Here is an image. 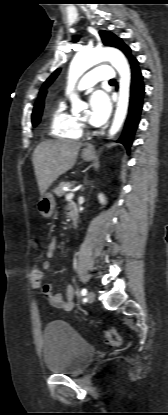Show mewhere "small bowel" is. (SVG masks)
Instances as JSON below:
<instances>
[{
	"label": "small bowel",
	"mask_w": 168,
	"mask_h": 415,
	"mask_svg": "<svg viewBox=\"0 0 168 415\" xmlns=\"http://www.w3.org/2000/svg\"><path fill=\"white\" fill-rule=\"evenodd\" d=\"M56 249L57 243L55 239H51L47 243L45 250L46 259L44 262V270L51 267V260L54 257ZM41 291L53 307L63 311H71L74 308V289L71 285L66 287L65 295L62 293H53V287L50 283H43Z\"/></svg>",
	"instance_id": "small-bowel-1"
}]
</instances>
